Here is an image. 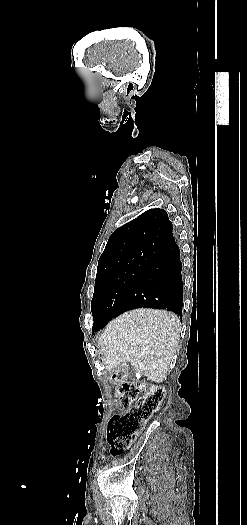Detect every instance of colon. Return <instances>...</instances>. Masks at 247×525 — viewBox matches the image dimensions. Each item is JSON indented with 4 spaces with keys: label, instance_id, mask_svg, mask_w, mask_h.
Segmentation results:
<instances>
[{
    "label": "colon",
    "instance_id": "colon-1",
    "mask_svg": "<svg viewBox=\"0 0 247 525\" xmlns=\"http://www.w3.org/2000/svg\"><path fill=\"white\" fill-rule=\"evenodd\" d=\"M165 398V390L151 383L125 380L115 389V399L129 407L123 414L113 417L107 433L110 454L120 457L135 440L142 426L157 412ZM134 402L135 406L130 407Z\"/></svg>",
    "mask_w": 247,
    "mask_h": 525
}]
</instances>
